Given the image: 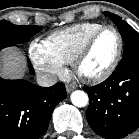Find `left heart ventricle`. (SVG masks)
<instances>
[{
	"label": "left heart ventricle",
	"mask_w": 139,
	"mask_h": 139,
	"mask_svg": "<svg viewBox=\"0 0 139 139\" xmlns=\"http://www.w3.org/2000/svg\"><path fill=\"white\" fill-rule=\"evenodd\" d=\"M118 46L115 33L111 30L103 32L94 42L91 50L80 66L82 73L97 75L103 72L112 62Z\"/></svg>",
	"instance_id": "left-heart-ventricle-1"
}]
</instances>
